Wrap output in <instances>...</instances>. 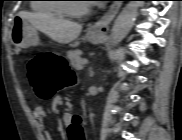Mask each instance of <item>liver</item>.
I'll return each mask as SVG.
<instances>
[{"mask_svg": "<svg viewBox=\"0 0 182 140\" xmlns=\"http://www.w3.org/2000/svg\"><path fill=\"white\" fill-rule=\"evenodd\" d=\"M19 15L29 21L33 28L40 30L54 41L67 44L74 41L81 33L82 25L55 18L41 13L20 12Z\"/></svg>", "mask_w": 182, "mask_h": 140, "instance_id": "6515ba94", "label": "liver"}]
</instances>
